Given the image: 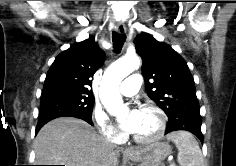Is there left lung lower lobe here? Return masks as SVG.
Segmentation results:
<instances>
[{"instance_id": "1", "label": "left lung lower lobe", "mask_w": 236, "mask_h": 166, "mask_svg": "<svg viewBox=\"0 0 236 166\" xmlns=\"http://www.w3.org/2000/svg\"><path fill=\"white\" fill-rule=\"evenodd\" d=\"M190 109L191 110L186 111L185 113L170 118L167 123L165 134L178 130H186L196 135L203 143L199 104H192Z\"/></svg>"}]
</instances>
